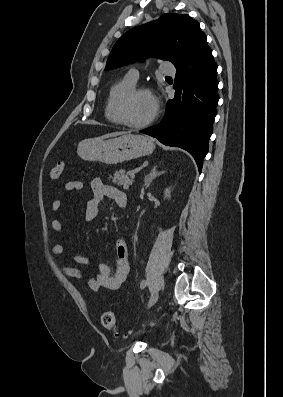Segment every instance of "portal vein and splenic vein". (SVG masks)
I'll return each instance as SVG.
<instances>
[{
	"label": "portal vein and splenic vein",
	"instance_id": "1",
	"mask_svg": "<svg viewBox=\"0 0 283 397\" xmlns=\"http://www.w3.org/2000/svg\"><path fill=\"white\" fill-rule=\"evenodd\" d=\"M128 174H129V176H130L132 179L135 178V173H134L133 171H130Z\"/></svg>",
	"mask_w": 283,
	"mask_h": 397
}]
</instances>
